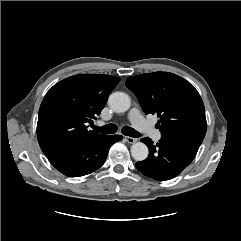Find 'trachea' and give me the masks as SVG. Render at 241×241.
Returning <instances> with one entry per match:
<instances>
[{"mask_svg": "<svg viewBox=\"0 0 241 241\" xmlns=\"http://www.w3.org/2000/svg\"><path fill=\"white\" fill-rule=\"evenodd\" d=\"M92 128L96 132L104 133V134H114L117 131V126L115 124H107L102 127H97V126L93 125ZM121 131L126 136H130V137H134V138L140 137L139 132H137L136 130H134L133 128L128 127V126H124Z\"/></svg>", "mask_w": 241, "mask_h": 241, "instance_id": "trachea-1", "label": "trachea"}]
</instances>
